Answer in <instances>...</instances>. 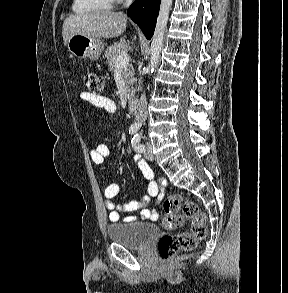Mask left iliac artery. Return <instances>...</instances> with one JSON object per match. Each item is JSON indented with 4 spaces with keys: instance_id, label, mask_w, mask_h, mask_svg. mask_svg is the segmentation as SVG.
Segmentation results:
<instances>
[{
    "instance_id": "1",
    "label": "left iliac artery",
    "mask_w": 288,
    "mask_h": 293,
    "mask_svg": "<svg viewBox=\"0 0 288 293\" xmlns=\"http://www.w3.org/2000/svg\"><path fill=\"white\" fill-rule=\"evenodd\" d=\"M141 136L139 134L134 135L132 138V146L137 152H145V146L140 143Z\"/></svg>"
}]
</instances>
